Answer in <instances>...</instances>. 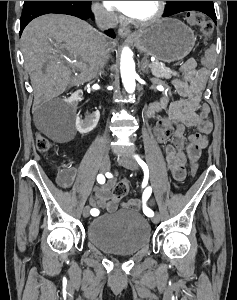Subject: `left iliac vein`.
Instances as JSON below:
<instances>
[{"instance_id": "4c4485c4", "label": "left iliac vein", "mask_w": 237, "mask_h": 300, "mask_svg": "<svg viewBox=\"0 0 237 300\" xmlns=\"http://www.w3.org/2000/svg\"><path fill=\"white\" fill-rule=\"evenodd\" d=\"M117 162L122 165L123 167L131 170H137L138 164L134 159L128 158V157H120L117 159ZM160 219V215L158 212L155 213L153 217V222L158 223Z\"/></svg>"}]
</instances>
